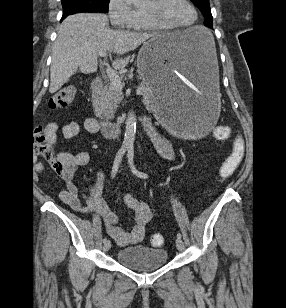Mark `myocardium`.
I'll return each mask as SVG.
<instances>
[{
  "instance_id": "obj_1",
  "label": "myocardium",
  "mask_w": 286,
  "mask_h": 308,
  "mask_svg": "<svg viewBox=\"0 0 286 308\" xmlns=\"http://www.w3.org/2000/svg\"><path fill=\"white\" fill-rule=\"evenodd\" d=\"M154 1L157 2V3H163L164 2V0H154ZM185 2L193 10L194 15H195L194 20L189 24H185V25L173 24V23H170L169 21L165 20L164 18H162L159 15L149 13V12H145L144 14L150 22H152L154 25L161 27V28H165V29H169V30L192 28L198 22V18H199L198 11H197L195 5L193 4V2L191 0H185Z\"/></svg>"
}]
</instances>
